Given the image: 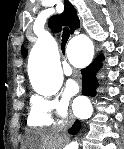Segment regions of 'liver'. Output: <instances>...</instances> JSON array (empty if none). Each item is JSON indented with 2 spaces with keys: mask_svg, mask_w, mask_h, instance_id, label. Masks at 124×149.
<instances>
[{
  "mask_svg": "<svg viewBox=\"0 0 124 149\" xmlns=\"http://www.w3.org/2000/svg\"><path fill=\"white\" fill-rule=\"evenodd\" d=\"M62 143V138L55 132L37 131L26 138V144L30 149H58Z\"/></svg>",
  "mask_w": 124,
  "mask_h": 149,
  "instance_id": "6515ba94",
  "label": "liver"
}]
</instances>
